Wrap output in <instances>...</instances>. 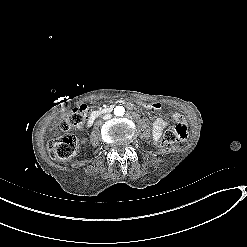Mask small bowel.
Here are the masks:
<instances>
[{
  "label": "small bowel",
  "instance_id": "obj_1",
  "mask_svg": "<svg viewBox=\"0 0 247 247\" xmlns=\"http://www.w3.org/2000/svg\"><path fill=\"white\" fill-rule=\"evenodd\" d=\"M172 120L175 122H181L183 118L180 114L176 113L172 116ZM167 124H168V120L164 117H158L155 119L152 126L153 139L155 141H158L160 139L162 131L167 126Z\"/></svg>",
  "mask_w": 247,
  "mask_h": 247
}]
</instances>
